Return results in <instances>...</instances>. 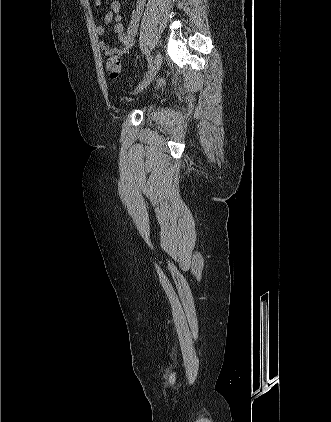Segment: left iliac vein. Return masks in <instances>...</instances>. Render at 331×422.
<instances>
[{
	"instance_id": "left-iliac-vein-1",
	"label": "left iliac vein",
	"mask_w": 331,
	"mask_h": 422,
	"mask_svg": "<svg viewBox=\"0 0 331 422\" xmlns=\"http://www.w3.org/2000/svg\"><path fill=\"white\" fill-rule=\"evenodd\" d=\"M161 64H162V55L160 52H157L153 60L152 66L148 70V73L144 77L142 83L136 88L135 94H138L141 91H143L152 82L157 72L159 71Z\"/></svg>"
}]
</instances>
